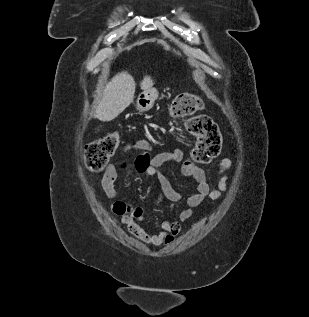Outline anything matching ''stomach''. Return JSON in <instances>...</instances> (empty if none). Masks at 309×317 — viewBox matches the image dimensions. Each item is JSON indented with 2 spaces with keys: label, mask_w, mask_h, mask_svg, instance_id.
<instances>
[{
  "label": "stomach",
  "mask_w": 309,
  "mask_h": 317,
  "mask_svg": "<svg viewBox=\"0 0 309 317\" xmlns=\"http://www.w3.org/2000/svg\"><path fill=\"white\" fill-rule=\"evenodd\" d=\"M158 98V91L154 88L144 90L139 94L136 101V108L139 112L150 110Z\"/></svg>",
  "instance_id": "obj_1"
}]
</instances>
